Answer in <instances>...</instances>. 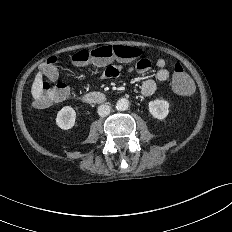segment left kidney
<instances>
[{"label": "left kidney", "mask_w": 232, "mask_h": 232, "mask_svg": "<svg viewBox=\"0 0 232 232\" xmlns=\"http://www.w3.org/2000/svg\"><path fill=\"white\" fill-rule=\"evenodd\" d=\"M148 106L151 115L159 120L166 118L169 113V103L165 100L155 99Z\"/></svg>", "instance_id": "left-kidney-1"}]
</instances>
